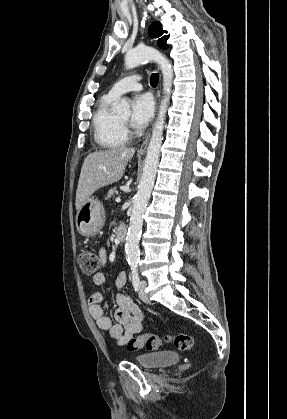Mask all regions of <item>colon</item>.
<instances>
[{
    "label": "colon",
    "mask_w": 287,
    "mask_h": 419,
    "mask_svg": "<svg viewBox=\"0 0 287 419\" xmlns=\"http://www.w3.org/2000/svg\"><path fill=\"white\" fill-rule=\"evenodd\" d=\"M79 265L81 271L86 276H91L97 272L100 267L99 257L90 250H82L78 256ZM168 342H173L175 347L180 351H190L193 347V339L190 335L184 333H176L172 336H168L166 339ZM163 344V339L155 334H149L145 336H136L129 339L125 346L128 350L138 351L142 348L148 350H158Z\"/></svg>",
    "instance_id": "colon-1"
}]
</instances>
